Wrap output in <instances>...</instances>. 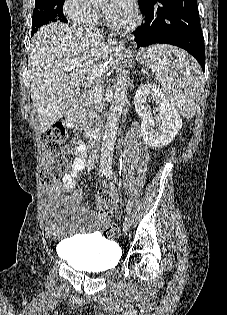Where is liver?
<instances>
[{"mask_svg":"<svg viewBox=\"0 0 227 315\" xmlns=\"http://www.w3.org/2000/svg\"><path fill=\"white\" fill-rule=\"evenodd\" d=\"M118 56L101 36L92 37L82 29L59 22L39 28L31 41L29 74L41 132L74 106L85 79L93 80L114 69Z\"/></svg>","mask_w":227,"mask_h":315,"instance_id":"obj_1","label":"liver"}]
</instances>
